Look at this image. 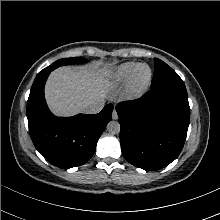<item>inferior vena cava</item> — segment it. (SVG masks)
I'll use <instances>...</instances> for the list:
<instances>
[{
    "instance_id": "inferior-vena-cava-1",
    "label": "inferior vena cava",
    "mask_w": 220,
    "mask_h": 220,
    "mask_svg": "<svg viewBox=\"0 0 220 220\" xmlns=\"http://www.w3.org/2000/svg\"><path fill=\"white\" fill-rule=\"evenodd\" d=\"M103 108L104 100L99 99L88 103L84 108V112L87 114H96L99 113Z\"/></svg>"
}]
</instances>
